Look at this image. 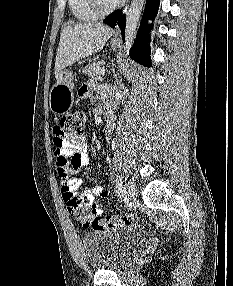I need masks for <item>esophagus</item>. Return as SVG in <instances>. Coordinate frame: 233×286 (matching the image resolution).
I'll list each match as a JSON object with an SVG mask.
<instances>
[{
  "mask_svg": "<svg viewBox=\"0 0 233 286\" xmlns=\"http://www.w3.org/2000/svg\"><path fill=\"white\" fill-rule=\"evenodd\" d=\"M115 35H116V36H118V35H119V30H117V31H116V34H115Z\"/></svg>",
  "mask_w": 233,
  "mask_h": 286,
  "instance_id": "34e87169",
  "label": "esophagus"
}]
</instances>
